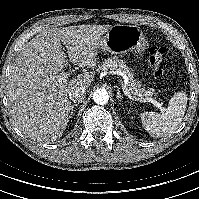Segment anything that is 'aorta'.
<instances>
[{
	"label": "aorta",
	"instance_id": "1",
	"mask_svg": "<svg viewBox=\"0 0 199 199\" xmlns=\"http://www.w3.org/2000/svg\"><path fill=\"white\" fill-rule=\"evenodd\" d=\"M93 101L98 105H104L109 101V94L105 89H97L93 94Z\"/></svg>",
	"mask_w": 199,
	"mask_h": 199
}]
</instances>
